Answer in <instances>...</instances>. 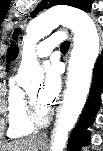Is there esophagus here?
Wrapping results in <instances>:
<instances>
[{"label":"esophagus","mask_w":103,"mask_h":151,"mask_svg":"<svg viewBox=\"0 0 103 151\" xmlns=\"http://www.w3.org/2000/svg\"><path fill=\"white\" fill-rule=\"evenodd\" d=\"M46 138H47L46 134H43L39 137V141H43Z\"/></svg>","instance_id":"esophagus-1"}]
</instances>
